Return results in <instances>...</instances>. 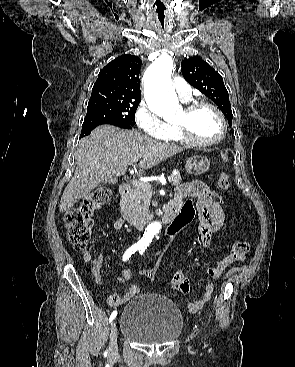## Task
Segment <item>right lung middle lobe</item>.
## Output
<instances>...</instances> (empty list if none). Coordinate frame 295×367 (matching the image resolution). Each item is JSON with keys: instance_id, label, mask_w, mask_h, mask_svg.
I'll use <instances>...</instances> for the list:
<instances>
[{"instance_id": "right-lung-middle-lobe-1", "label": "right lung middle lobe", "mask_w": 295, "mask_h": 367, "mask_svg": "<svg viewBox=\"0 0 295 367\" xmlns=\"http://www.w3.org/2000/svg\"><path fill=\"white\" fill-rule=\"evenodd\" d=\"M140 99L113 96L103 93H92L88 102L82 132L102 124H135V112Z\"/></svg>"}]
</instances>
